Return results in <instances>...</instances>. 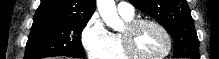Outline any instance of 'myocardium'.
Instances as JSON below:
<instances>
[{
  "mask_svg": "<svg viewBox=\"0 0 219 59\" xmlns=\"http://www.w3.org/2000/svg\"><path fill=\"white\" fill-rule=\"evenodd\" d=\"M143 25H152L160 30L165 36L167 48L162 54L154 57H147L140 55L136 51L134 46V35ZM120 37L123 50L130 59H165L171 54L173 48V39L168 29L160 22L150 18L134 19L131 22L126 23L124 30L120 33Z\"/></svg>",
  "mask_w": 219,
  "mask_h": 59,
  "instance_id": "myocardium-1",
  "label": "myocardium"
}]
</instances>
